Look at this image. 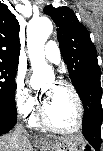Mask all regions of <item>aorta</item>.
I'll return each mask as SVG.
<instances>
[{"label":"aorta","instance_id":"1","mask_svg":"<svg viewBox=\"0 0 103 151\" xmlns=\"http://www.w3.org/2000/svg\"><path fill=\"white\" fill-rule=\"evenodd\" d=\"M53 26L47 17L32 19L27 26V48L35 74L49 70L45 61L44 45L52 33Z\"/></svg>","mask_w":103,"mask_h":151}]
</instances>
